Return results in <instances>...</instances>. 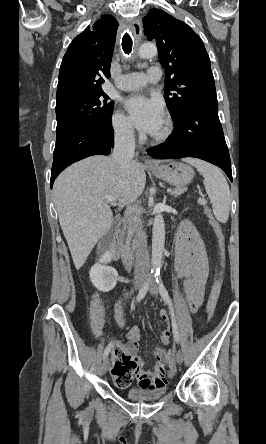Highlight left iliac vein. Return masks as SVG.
<instances>
[{"label":"left iliac vein","instance_id":"4c4485c4","mask_svg":"<svg viewBox=\"0 0 266 444\" xmlns=\"http://www.w3.org/2000/svg\"><path fill=\"white\" fill-rule=\"evenodd\" d=\"M157 292H158V289H157L156 284H155L154 282L151 281V282H150V293H151L152 295L156 296V295H157ZM175 357H176V362H177L179 365L182 364V362H183V353H182L181 349H178V350L176 351Z\"/></svg>","mask_w":266,"mask_h":444}]
</instances>
